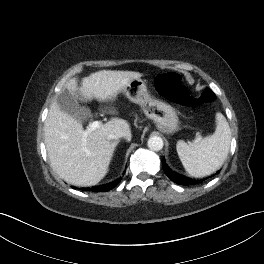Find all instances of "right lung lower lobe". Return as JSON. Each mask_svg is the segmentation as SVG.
Returning a JSON list of instances; mask_svg holds the SVG:
<instances>
[{
	"label": "right lung lower lobe",
	"mask_w": 264,
	"mask_h": 264,
	"mask_svg": "<svg viewBox=\"0 0 264 264\" xmlns=\"http://www.w3.org/2000/svg\"><path fill=\"white\" fill-rule=\"evenodd\" d=\"M121 181V178L102 186L93 187L92 191L94 192H105L108 191L110 188H114L119 182Z\"/></svg>",
	"instance_id": "obj_1"
}]
</instances>
